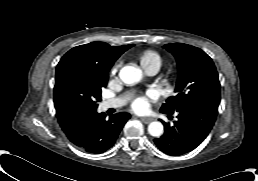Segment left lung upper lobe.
I'll list each match as a JSON object with an SVG mask.
<instances>
[{
	"mask_svg": "<svg viewBox=\"0 0 258 181\" xmlns=\"http://www.w3.org/2000/svg\"><path fill=\"white\" fill-rule=\"evenodd\" d=\"M178 65L177 95L162 105V113L173 114L195 106L218 107L220 83L212 59L201 49L182 43L164 45Z\"/></svg>",
	"mask_w": 258,
	"mask_h": 181,
	"instance_id": "5c2ea615",
	"label": "left lung upper lobe"
}]
</instances>
